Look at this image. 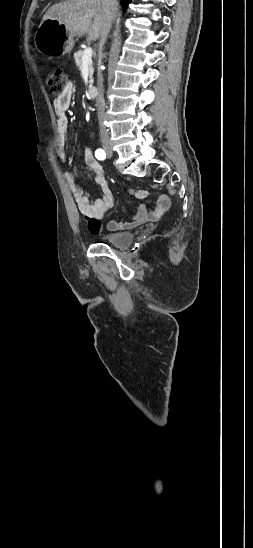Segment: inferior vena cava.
<instances>
[{
    "label": "inferior vena cava",
    "instance_id": "inferior-vena-cava-1",
    "mask_svg": "<svg viewBox=\"0 0 253 548\" xmlns=\"http://www.w3.org/2000/svg\"><path fill=\"white\" fill-rule=\"evenodd\" d=\"M102 8L104 11V17H105V24L104 27L100 33V43H99V50L100 52L103 49V45L107 39L108 33L111 28V22L114 16L116 15V12L118 10V3L117 0H102ZM98 86H99V95L97 98V120H98V126L100 128V137L102 140L108 139V131L104 127L105 126V100H104V87H103V78L102 75H99L98 79Z\"/></svg>",
    "mask_w": 253,
    "mask_h": 548
}]
</instances>
